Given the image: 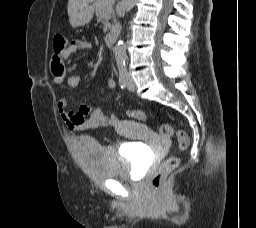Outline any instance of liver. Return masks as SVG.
Listing matches in <instances>:
<instances>
[{"mask_svg": "<svg viewBox=\"0 0 256 228\" xmlns=\"http://www.w3.org/2000/svg\"><path fill=\"white\" fill-rule=\"evenodd\" d=\"M93 0H68V15L71 16L79 8L91 3Z\"/></svg>", "mask_w": 256, "mask_h": 228, "instance_id": "liver-1", "label": "liver"}]
</instances>
